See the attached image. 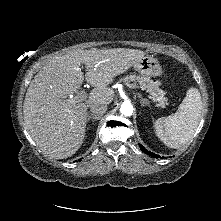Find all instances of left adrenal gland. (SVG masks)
<instances>
[{"mask_svg": "<svg viewBox=\"0 0 221 221\" xmlns=\"http://www.w3.org/2000/svg\"><path fill=\"white\" fill-rule=\"evenodd\" d=\"M138 97L140 98V103H141V106L144 107L147 104V99H144L140 94H138Z\"/></svg>", "mask_w": 221, "mask_h": 221, "instance_id": "1", "label": "left adrenal gland"}]
</instances>
